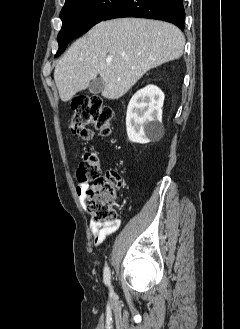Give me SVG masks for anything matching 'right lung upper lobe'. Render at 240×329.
Wrapping results in <instances>:
<instances>
[{"label":"right lung upper lobe","mask_w":240,"mask_h":329,"mask_svg":"<svg viewBox=\"0 0 240 329\" xmlns=\"http://www.w3.org/2000/svg\"><path fill=\"white\" fill-rule=\"evenodd\" d=\"M72 1H74V0H66L65 1V5L68 4V3H70V2H72Z\"/></svg>","instance_id":"obj_1"}]
</instances>
